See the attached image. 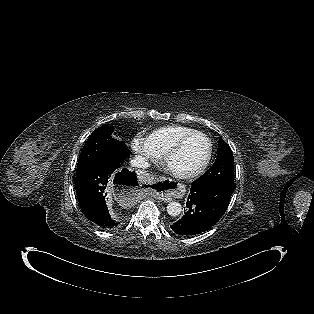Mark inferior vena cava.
<instances>
[{"instance_id": "602c4592", "label": "inferior vena cava", "mask_w": 314, "mask_h": 314, "mask_svg": "<svg viewBox=\"0 0 314 314\" xmlns=\"http://www.w3.org/2000/svg\"><path fill=\"white\" fill-rule=\"evenodd\" d=\"M131 165L133 167L137 168H147L149 167V163L147 162V159L142 156H136L133 160H131Z\"/></svg>"}]
</instances>
